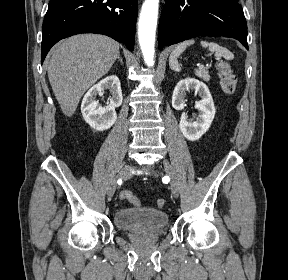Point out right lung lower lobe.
Returning <instances> with one entry per match:
<instances>
[{
	"label": "right lung lower lobe",
	"instance_id": "obj_1",
	"mask_svg": "<svg viewBox=\"0 0 288 280\" xmlns=\"http://www.w3.org/2000/svg\"><path fill=\"white\" fill-rule=\"evenodd\" d=\"M138 0H50L42 26L41 63L59 40L104 34L134 48Z\"/></svg>",
	"mask_w": 288,
	"mask_h": 280
}]
</instances>
